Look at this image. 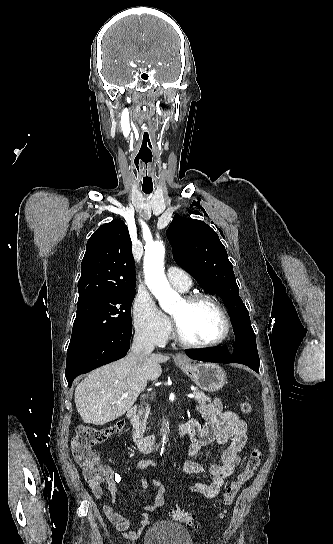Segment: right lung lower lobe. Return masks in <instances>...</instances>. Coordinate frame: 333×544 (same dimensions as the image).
I'll return each instance as SVG.
<instances>
[{
    "mask_svg": "<svg viewBox=\"0 0 333 544\" xmlns=\"http://www.w3.org/2000/svg\"><path fill=\"white\" fill-rule=\"evenodd\" d=\"M131 335V328L123 329L67 356L65 376L68 386L71 387L77 376L124 357L129 350Z\"/></svg>",
    "mask_w": 333,
    "mask_h": 544,
    "instance_id": "right-lung-lower-lobe-1",
    "label": "right lung lower lobe"
}]
</instances>
